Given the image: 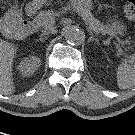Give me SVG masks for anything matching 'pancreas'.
<instances>
[{
  "label": "pancreas",
  "instance_id": "1",
  "mask_svg": "<svg viewBox=\"0 0 135 135\" xmlns=\"http://www.w3.org/2000/svg\"><path fill=\"white\" fill-rule=\"evenodd\" d=\"M73 7L85 18L87 24L94 29L96 32H108L111 30L108 26L99 22V20L95 19L88 8H85L79 3H73ZM61 12L53 11V10H43L38 13V15L34 18V22L39 28L43 29H52L53 25L49 24L50 19H54Z\"/></svg>",
  "mask_w": 135,
  "mask_h": 135
}]
</instances>
